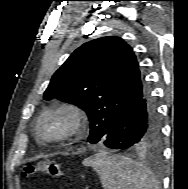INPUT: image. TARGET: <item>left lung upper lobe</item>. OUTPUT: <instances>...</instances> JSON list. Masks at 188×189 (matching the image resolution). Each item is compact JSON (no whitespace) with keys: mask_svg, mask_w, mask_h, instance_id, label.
<instances>
[{"mask_svg":"<svg viewBox=\"0 0 188 189\" xmlns=\"http://www.w3.org/2000/svg\"><path fill=\"white\" fill-rule=\"evenodd\" d=\"M146 89L132 48L119 37H102L76 49L55 72L43 98H57L86 111L88 142L98 143ZM158 138L136 149L157 145Z\"/></svg>","mask_w":188,"mask_h":189,"instance_id":"5c2ea615","label":"left lung upper lobe"}]
</instances>
